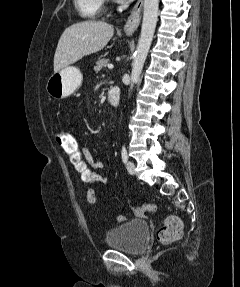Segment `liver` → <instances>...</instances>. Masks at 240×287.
Here are the masks:
<instances>
[{
	"instance_id": "1",
	"label": "liver",
	"mask_w": 240,
	"mask_h": 287,
	"mask_svg": "<svg viewBox=\"0 0 240 287\" xmlns=\"http://www.w3.org/2000/svg\"><path fill=\"white\" fill-rule=\"evenodd\" d=\"M114 34L112 25L88 20L75 23L61 35L54 55V73L86 55L103 49Z\"/></svg>"
}]
</instances>
